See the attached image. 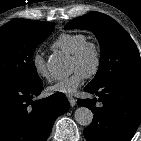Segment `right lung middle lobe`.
<instances>
[{"instance_id": "dd1d6c3e", "label": "right lung middle lobe", "mask_w": 141, "mask_h": 141, "mask_svg": "<svg viewBox=\"0 0 141 141\" xmlns=\"http://www.w3.org/2000/svg\"><path fill=\"white\" fill-rule=\"evenodd\" d=\"M55 24L15 19L0 28V83L40 81L32 56Z\"/></svg>"}]
</instances>
